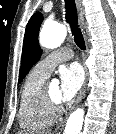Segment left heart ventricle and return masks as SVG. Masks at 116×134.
<instances>
[{"instance_id": "1", "label": "left heart ventricle", "mask_w": 116, "mask_h": 134, "mask_svg": "<svg viewBox=\"0 0 116 134\" xmlns=\"http://www.w3.org/2000/svg\"><path fill=\"white\" fill-rule=\"evenodd\" d=\"M47 89L51 98L55 101H59V87L57 85H49Z\"/></svg>"}]
</instances>
